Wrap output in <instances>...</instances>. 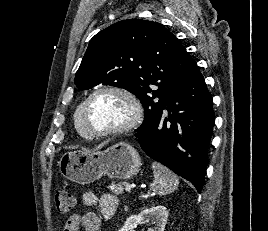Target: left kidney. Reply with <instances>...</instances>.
<instances>
[{
	"label": "left kidney",
	"mask_w": 268,
	"mask_h": 231,
	"mask_svg": "<svg viewBox=\"0 0 268 231\" xmlns=\"http://www.w3.org/2000/svg\"><path fill=\"white\" fill-rule=\"evenodd\" d=\"M168 211L164 206H154L149 209H144L138 215H132L124 223V226L119 231H135L138 224L145 220H152L154 226L148 231H164L167 223Z\"/></svg>",
	"instance_id": "1"
}]
</instances>
